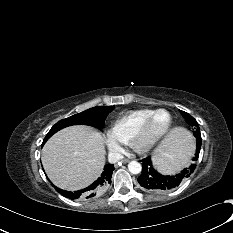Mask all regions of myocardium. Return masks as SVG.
<instances>
[{
  "label": "myocardium",
  "instance_id": "1",
  "mask_svg": "<svg viewBox=\"0 0 233 233\" xmlns=\"http://www.w3.org/2000/svg\"><path fill=\"white\" fill-rule=\"evenodd\" d=\"M160 112H164L167 115V122L163 129L156 135L149 137L148 129L153 118ZM172 123V116L166 109L153 110L139 125L132 140L131 146L139 153H147L154 149L166 136Z\"/></svg>",
  "mask_w": 233,
  "mask_h": 233
}]
</instances>
